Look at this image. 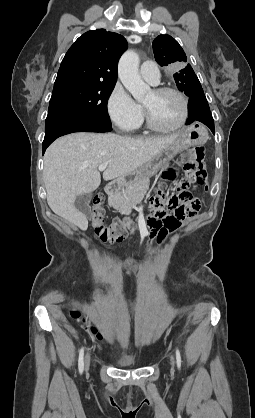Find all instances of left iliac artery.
<instances>
[{
  "label": "left iliac artery",
  "mask_w": 255,
  "mask_h": 418,
  "mask_svg": "<svg viewBox=\"0 0 255 418\" xmlns=\"http://www.w3.org/2000/svg\"><path fill=\"white\" fill-rule=\"evenodd\" d=\"M176 362H177L178 368L180 369V367H181V355H180V352H179L178 348L176 349Z\"/></svg>",
  "instance_id": "1"
}]
</instances>
